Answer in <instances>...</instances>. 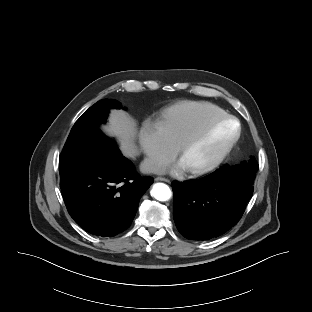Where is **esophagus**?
<instances>
[{
	"label": "esophagus",
	"mask_w": 312,
	"mask_h": 312,
	"mask_svg": "<svg viewBox=\"0 0 312 312\" xmlns=\"http://www.w3.org/2000/svg\"><path fill=\"white\" fill-rule=\"evenodd\" d=\"M155 181H164L166 183H170V180L168 178H164V177H157V178H155Z\"/></svg>",
	"instance_id": "obj_1"
}]
</instances>
